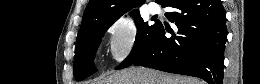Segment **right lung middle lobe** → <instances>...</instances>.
<instances>
[{
  "label": "right lung middle lobe",
  "instance_id": "obj_1",
  "mask_svg": "<svg viewBox=\"0 0 260 84\" xmlns=\"http://www.w3.org/2000/svg\"><path fill=\"white\" fill-rule=\"evenodd\" d=\"M133 14L137 26L135 44L130 55L117 69L130 66L149 49L159 26L156 22L151 26L147 22H143L138 11ZM115 21L105 20L95 22L81 37L77 38L73 67V74L76 80H83L95 72L93 65L94 54L100 44L101 38Z\"/></svg>",
  "mask_w": 260,
  "mask_h": 84
}]
</instances>
